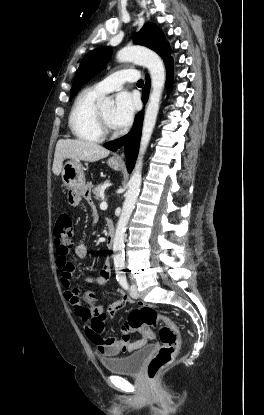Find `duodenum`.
Returning a JSON list of instances; mask_svg holds the SVG:
<instances>
[{"label": "duodenum", "instance_id": "duodenum-1", "mask_svg": "<svg viewBox=\"0 0 264 415\" xmlns=\"http://www.w3.org/2000/svg\"><path fill=\"white\" fill-rule=\"evenodd\" d=\"M114 241H115V229H114L112 222L110 220H107V232H106L105 243L109 249L113 248Z\"/></svg>", "mask_w": 264, "mask_h": 415}]
</instances>
